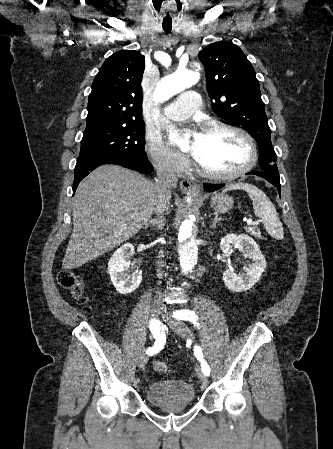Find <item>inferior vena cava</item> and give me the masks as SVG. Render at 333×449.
<instances>
[{
    "instance_id": "obj_1",
    "label": "inferior vena cava",
    "mask_w": 333,
    "mask_h": 449,
    "mask_svg": "<svg viewBox=\"0 0 333 449\" xmlns=\"http://www.w3.org/2000/svg\"><path fill=\"white\" fill-rule=\"evenodd\" d=\"M177 177L174 169L167 164L160 163L157 165V178L155 188L157 190V202L155 213L161 215L168 211V196L170 188L177 184Z\"/></svg>"
}]
</instances>
